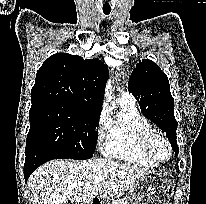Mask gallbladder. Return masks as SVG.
I'll return each mask as SVG.
<instances>
[{"instance_id": "1", "label": "gallbladder", "mask_w": 206, "mask_h": 204, "mask_svg": "<svg viewBox=\"0 0 206 204\" xmlns=\"http://www.w3.org/2000/svg\"><path fill=\"white\" fill-rule=\"evenodd\" d=\"M73 200H68L66 204H73Z\"/></svg>"}]
</instances>
